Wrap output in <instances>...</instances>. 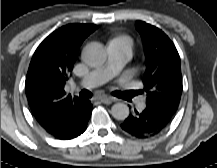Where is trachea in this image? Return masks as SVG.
<instances>
[{
    "instance_id": "trachea-1",
    "label": "trachea",
    "mask_w": 217,
    "mask_h": 168,
    "mask_svg": "<svg viewBox=\"0 0 217 168\" xmlns=\"http://www.w3.org/2000/svg\"><path fill=\"white\" fill-rule=\"evenodd\" d=\"M118 93H114V95H117ZM79 96L81 98H91L92 97V93L89 91V90H82L80 93H79Z\"/></svg>"
}]
</instances>
